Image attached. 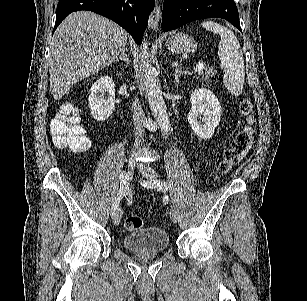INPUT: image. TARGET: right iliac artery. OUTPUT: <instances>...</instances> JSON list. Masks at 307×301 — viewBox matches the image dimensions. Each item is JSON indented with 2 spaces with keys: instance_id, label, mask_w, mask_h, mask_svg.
Wrapping results in <instances>:
<instances>
[{
  "instance_id": "82829eb1",
  "label": "right iliac artery",
  "mask_w": 307,
  "mask_h": 301,
  "mask_svg": "<svg viewBox=\"0 0 307 301\" xmlns=\"http://www.w3.org/2000/svg\"><path fill=\"white\" fill-rule=\"evenodd\" d=\"M123 173L121 174V178H123ZM128 187V185H127ZM125 183L124 185L121 187V184H120V189L115 197V200L113 201V204H112V216L115 214L118 206H119V203H120V200L122 199L123 195L125 194Z\"/></svg>"
}]
</instances>
